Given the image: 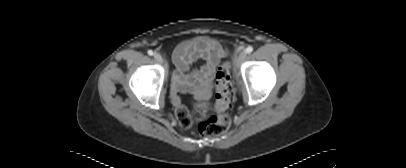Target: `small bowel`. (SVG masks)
I'll return each mask as SVG.
<instances>
[{
	"instance_id": "obj_1",
	"label": "small bowel",
	"mask_w": 406,
	"mask_h": 168,
	"mask_svg": "<svg viewBox=\"0 0 406 168\" xmlns=\"http://www.w3.org/2000/svg\"><path fill=\"white\" fill-rule=\"evenodd\" d=\"M223 57H225L224 49L207 38L198 43L186 42L179 45L173 53L176 90H181L188 83L194 82L202 83L206 89L211 88L214 73ZM198 60L204 61V64L187 75L190 65ZM173 101L175 104L180 103L179 97L175 94Z\"/></svg>"
}]
</instances>
